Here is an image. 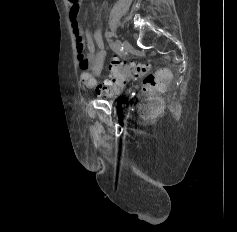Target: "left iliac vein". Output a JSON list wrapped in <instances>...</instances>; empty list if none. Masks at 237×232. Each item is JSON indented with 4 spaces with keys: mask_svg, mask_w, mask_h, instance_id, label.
<instances>
[{
    "mask_svg": "<svg viewBox=\"0 0 237 232\" xmlns=\"http://www.w3.org/2000/svg\"><path fill=\"white\" fill-rule=\"evenodd\" d=\"M122 45H123V48H124L126 51H130V50L132 49V46H131V44H130L128 41H124V42L122 43Z\"/></svg>",
    "mask_w": 237,
    "mask_h": 232,
    "instance_id": "obj_1",
    "label": "left iliac vein"
}]
</instances>
